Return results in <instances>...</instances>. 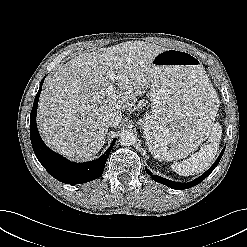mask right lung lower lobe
<instances>
[{"label": "right lung lower lobe", "mask_w": 247, "mask_h": 247, "mask_svg": "<svg viewBox=\"0 0 247 247\" xmlns=\"http://www.w3.org/2000/svg\"><path fill=\"white\" fill-rule=\"evenodd\" d=\"M43 80L34 100L30 120V139L37 159L51 176L65 184H82L99 178L116 140L112 141L111 146L100 158L86 163L71 162L50 150L41 139L36 124L37 105Z\"/></svg>", "instance_id": "right-lung-lower-lobe-1"}]
</instances>
